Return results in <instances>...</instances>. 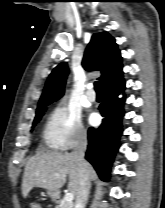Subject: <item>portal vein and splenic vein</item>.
I'll list each match as a JSON object with an SVG mask.
<instances>
[{"instance_id": "portal-vein-and-splenic-vein-1", "label": "portal vein and splenic vein", "mask_w": 165, "mask_h": 208, "mask_svg": "<svg viewBox=\"0 0 165 208\" xmlns=\"http://www.w3.org/2000/svg\"><path fill=\"white\" fill-rule=\"evenodd\" d=\"M60 175L59 174H56V177H59ZM74 199V195L73 193L69 192V193H66L65 194V197H64V201L67 202V203H71Z\"/></svg>"}]
</instances>
